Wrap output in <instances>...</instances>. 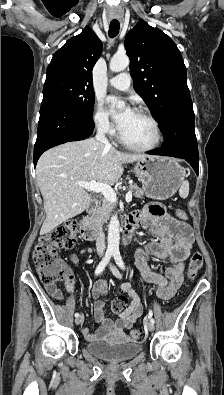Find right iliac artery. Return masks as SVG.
Here are the masks:
<instances>
[{
	"label": "right iliac artery",
	"mask_w": 224,
	"mask_h": 395,
	"mask_svg": "<svg viewBox=\"0 0 224 395\" xmlns=\"http://www.w3.org/2000/svg\"><path fill=\"white\" fill-rule=\"evenodd\" d=\"M112 254H113L112 251H106L105 256L103 257V259L101 260V262L99 263V265L97 266V268L95 270V275H99L103 272V270L109 263V261L112 257ZM78 316H79V313H75V317H78Z\"/></svg>",
	"instance_id": "1"
}]
</instances>
